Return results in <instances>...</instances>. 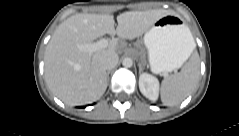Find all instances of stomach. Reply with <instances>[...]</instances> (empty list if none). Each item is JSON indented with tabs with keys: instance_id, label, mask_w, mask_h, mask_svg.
I'll use <instances>...</instances> for the list:
<instances>
[{
	"instance_id": "0dacf381",
	"label": "stomach",
	"mask_w": 239,
	"mask_h": 136,
	"mask_svg": "<svg viewBox=\"0 0 239 136\" xmlns=\"http://www.w3.org/2000/svg\"><path fill=\"white\" fill-rule=\"evenodd\" d=\"M190 30L177 14L158 19L144 35V44L154 73L178 69L192 51Z\"/></svg>"
}]
</instances>
